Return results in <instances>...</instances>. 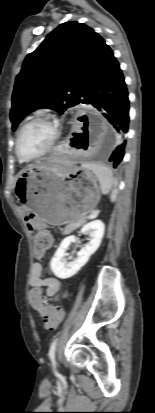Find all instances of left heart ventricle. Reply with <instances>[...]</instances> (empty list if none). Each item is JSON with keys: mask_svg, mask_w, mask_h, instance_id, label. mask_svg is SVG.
<instances>
[{"mask_svg": "<svg viewBox=\"0 0 155 413\" xmlns=\"http://www.w3.org/2000/svg\"><path fill=\"white\" fill-rule=\"evenodd\" d=\"M54 136V126L47 121H35L23 131L20 139V150L26 156H34L42 152Z\"/></svg>", "mask_w": 155, "mask_h": 413, "instance_id": "obj_1", "label": "left heart ventricle"}]
</instances>
